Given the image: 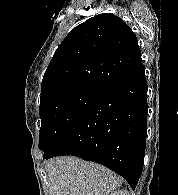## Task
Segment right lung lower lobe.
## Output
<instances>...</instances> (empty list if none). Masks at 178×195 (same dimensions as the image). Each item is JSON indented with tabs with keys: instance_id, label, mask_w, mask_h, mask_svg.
<instances>
[{
	"instance_id": "obj_1",
	"label": "right lung lower lobe",
	"mask_w": 178,
	"mask_h": 195,
	"mask_svg": "<svg viewBox=\"0 0 178 195\" xmlns=\"http://www.w3.org/2000/svg\"><path fill=\"white\" fill-rule=\"evenodd\" d=\"M144 68L99 90L84 117L44 158L73 155L121 175L134 190L142 174L147 134Z\"/></svg>"
}]
</instances>
